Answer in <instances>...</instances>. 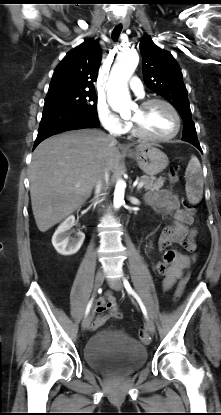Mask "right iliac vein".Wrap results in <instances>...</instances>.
Wrapping results in <instances>:
<instances>
[{
	"instance_id": "1",
	"label": "right iliac vein",
	"mask_w": 221,
	"mask_h": 415,
	"mask_svg": "<svg viewBox=\"0 0 221 415\" xmlns=\"http://www.w3.org/2000/svg\"><path fill=\"white\" fill-rule=\"evenodd\" d=\"M103 281H104V274H103V272H98L96 274V277H95L93 296L96 295L97 291L102 286ZM92 318H93L92 313H89V314H87L85 316V318L82 321V329L83 330H86L90 326L91 321H92Z\"/></svg>"
}]
</instances>
